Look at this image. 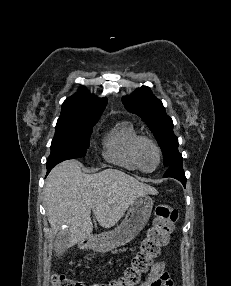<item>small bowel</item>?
Wrapping results in <instances>:
<instances>
[{
    "mask_svg": "<svg viewBox=\"0 0 231 286\" xmlns=\"http://www.w3.org/2000/svg\"><path fill=\"white\" fill-rule=\"evenodd\" d=\"M139 286H173V281L166 271V262L153 263L148 278Z\"/></svg>",
    "mask_w": 231,
    "mask_h": 286,
    "instance_id": "small-bowel-1",
    "label": "small bowel"
}]
</instances>
